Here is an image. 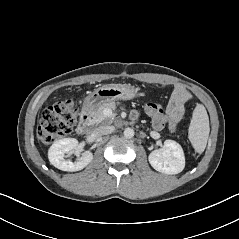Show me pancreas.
Here are the masks:
<instances>
[{
    "mask_svg": "<svg viewBox=\"0 0 239 239\" xmlns=\"http://www.w3.org/2000/svg\"><path fill=\"white\" fill-rule=\"evenodd\" d=\"M115 108H116L115 102H109V103H106V104L100 106L93 116L94 122L95 123H104V124L111 123L115 117V114H112L111 116L107 117L104 115V111L106 109L114 110Z\"/></svg>",
    "mask_w": 239,
    "mask_h": 239,
    "instance_id": "pancreas-1",
    "label": "pancreas"
}]
</instances>
